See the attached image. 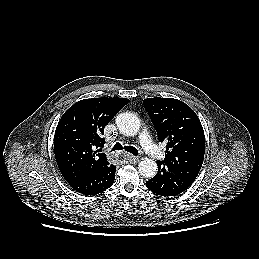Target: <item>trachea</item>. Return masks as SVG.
<instances>
[{
  "instance_id": "obj_1",
  "label": "trachea",
  "mask_w": 259,
  "mask_h": 259,
  "mask_svg": "<svg viewBox=\"0 0 259 259\" xmlns=\"http://www.w3.org/2000/svg\"><path fill=\"white\" fill-rule=\"evenodd\" d=\"M125 149L127 152H130L131 154L137 156L138 155V150L134 148L133 146H122L120 143H116L113 148L111 149L112 151H119Z\"/></svg>"
}]
</instances>
